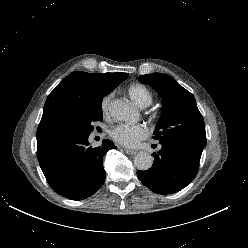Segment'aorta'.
<instances>
[{"label":"aorta","mask_w":248,"mask_h":248,"mask_svg":"<svg viewBox=\"0 0 248 248\" xmlns=\"http://www.w3.org/2000/svg\"><path fill=\"white\" fill-rule=\"evenodd\" d=\"M115 120L122 122H134L137 118V109L128 102L115 100L110 109ZM153 157L151 154L141 151L134 157V165L138 170L146 171L152 167Z\"/></svg>","instance_id":"762f6f07"}]
</instances>
